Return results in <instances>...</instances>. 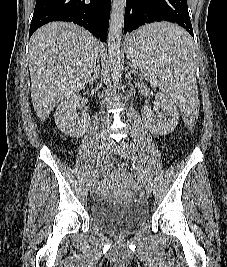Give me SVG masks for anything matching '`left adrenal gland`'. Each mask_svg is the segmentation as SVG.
Here are the masks:
<instances>
[{
  "instance_id": "obj_1",
  "label": "left adrenal gland",
  "mask_w": 227,
  "mask_h": 267,
  "mask_svg": "<svg viewBox=\"0 0 227 267\" xmlns=\"http://www.w3.org/2000/svg\"><path fill=\"white\" fill-rule=\"evenodd\" d=\"M130 72L134 73V74H137V71L131 66V70Z\"/></svg>"
}]
</instances>
